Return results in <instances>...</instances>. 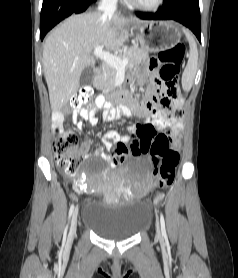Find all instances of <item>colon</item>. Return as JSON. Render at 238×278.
<instances>
[{"mask_svg": "<svg viewBox=\"0 0 238 278\" xmlns=\"http://www.w3.org/2000/svg\"><path fill=\"white\" fill-rule=\"evenodd\" d=\"M186 54V46L179 43L174 47L159 53L162 69L159 75L163 77L169 97L178 94L177 75L180 65ZM93 89L89 86L83 87L71 99L74 108L84 107L87 110H94L92 99ZM159 128H166L171 117L170 101L168 98L155 103L154 106ZM160 134V133H157ZM153 137H141L139 142L132 143L129 148L123 144H117L112 149V159L115 164L123 162L128 155L149 154L154 165V175L160 188L169 187L175 178L179 164V154L175 150H169L170 144H154ZM53 150L56 156V163L59 169L69 175H76L81 164V148L77 136L72 132H54ZM163 198L157 196V201Z\"/></svg>", "mask_w": 238, "mask_h": 278, "instance_id": "obj_1", "label": "colon"}]
</instances>
